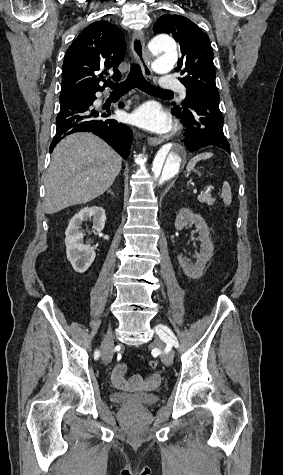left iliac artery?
Masks as SVG:
<instances>
[{
    "mask_svg": "<svg viewBox=\"0 0 283 475\" xmlns=\"http://www.w3.org/2000/svg\"><path fill=\"white\" fill-rule=\"evenodd\" d=\"M159 326H160L161 328H163L166 332H168V333L172 336V338H173L172 344H173L175 347H178L179 344H178V341H177L175 335L173 334V332H172L168 327H166V326H163V325H159ZM165 342H169V341L165 340Z\"/></svg>",
    "mask_w": 283,
    "mask_h": 475,
    "instance_id": "obj_1",
    "label": "left iliac artery"
}]
</instances>
